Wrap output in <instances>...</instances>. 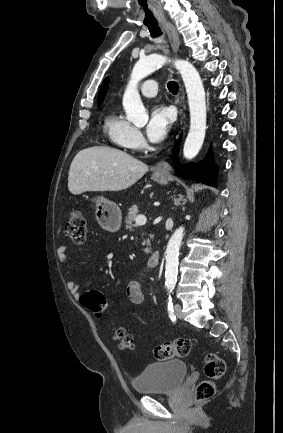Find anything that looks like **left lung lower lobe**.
Wrapping results in <instances>:
<instances>
[{
	"label": "left lung lower lobe",
	"mask_w": 283,
	"mask_h": 433,
	"mask_svg": "<svg viewBox=\"0 0 283 433\" xmlns=\"http://www.w3.org/2000/svg\"><path fill=\"white\" fill-rule=\"evenodd\" d=\"M179 147L180 139L173 147L172 156L175 173L182 178L194 179L207 185L216 187L218 167H216L213 163L214 155L212 151H209L203 161L198 164L187 163L186 165H181L178 162Z\"/></svg>",
	"instance_id": "0a47b994"
}]
</instances>
